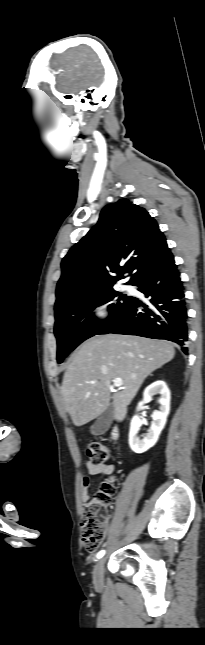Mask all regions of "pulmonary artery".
<instances>
[{"instance_id": "1", "label": "pulmonary artery", "mask_w": 205, "mask_h": 645, "mask_svg": "<svg viewBox=\"0 0 205 645\" xmlns=\"http://www.w3.org/2000/svg\"><path fill=\"white\" fill-rule=\"evenodd\" d=\"M122 287H123V289H125V290L129 289V286H128V285H126V284H124Z\"/></svg>"}]
</instances>
